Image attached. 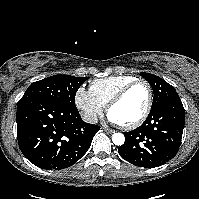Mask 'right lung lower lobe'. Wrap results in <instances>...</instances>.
I'll list each match as a JSON object with an SVG mask.
<instances>
[{
	"label": "right lung lower lobe",
	"instance_id": "right-lung-lower-lobe-1",
	"mask_svg": "<svg viewBox=\"0 0 199 199\" xmlns=\"http://www.w3.org/2000/svg\"><path fill=\"white\" fill-rule=\"evenodd\" d=\"M16 119L22 153L31 163L47 170L76 163L100 129L84 122L76 108L40 99L18 103Z\"/></svg>",
	"mask_w": 199,
	"mask_h": 199
}]
</instances>
